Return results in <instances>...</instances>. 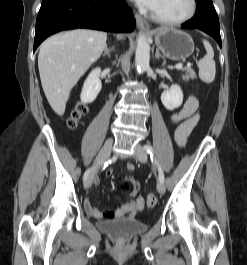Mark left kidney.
Listing matches in <instances>:
<instances>
[{
	"mask_svg": "<svg viewBox=\"0 0 247 265\" xmlns=\"http://www.w3.org/2000/svg\"><path fill=\"white\" fill-rule=\"evenodd\" d=\"M161 101L167 110L179 108L183 102V92L178 85H173L161 94Z\"/></svg>",
	"mask_w": 247,
	"mask_h": 265,
	"instance_id": "5707ae66",
	"label": "left kidney"
}]
</instances>
